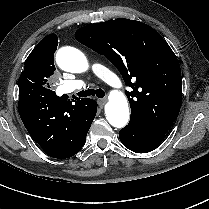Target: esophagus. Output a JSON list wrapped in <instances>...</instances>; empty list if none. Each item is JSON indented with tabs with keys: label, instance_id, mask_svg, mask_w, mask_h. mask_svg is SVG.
<instances>
[{
	"label": "esophagus",
	"instance_id": "34e87169",
	"mask_svg": "<svg viewBox=\"0 0 209 209\" xmlns=\"http://www.w3.org/2000/svg\"><path fill=\"white\" fill-rule=\"evenodd\" d=\"M105 102H106V99H99L98 100V104H99L100 107H103Z\"/></svg>",
	"mask_w": 209,
	"mask_h": 209
}]
</instances>
